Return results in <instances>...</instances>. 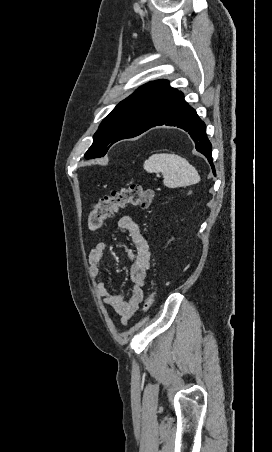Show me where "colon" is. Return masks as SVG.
Listing matches in <instances>:
<instances>
[{"instance_id":"5ec220e1","label":"colon","mask_w":272,"mask_h":452,"mask_svg":"<svg viewBox=\"0 0 272 452\" xmlns=\"http://www.w3.org/2000/svg\"><path fill=\"white\" fill-rule=\"evenodd\" d=\"M155 193L151 189H145L139 184H129L117 190H113L108 195L99 199L88 213V226L91 230L101 228L103 222L113 217L119 210L128 206L148 209L152 206ZM156 290H152L143 306L144 311H148L155 301Z\"/></svg>"}]
</instances>
